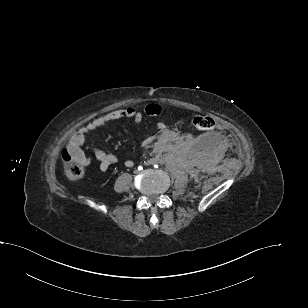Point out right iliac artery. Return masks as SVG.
<instances>
[{
    "label": "right iliac artery",
    "instance_id": "1",
    "mask_svg": "<svg viewBox=\"0 0 308 308\" xmlns=\"http://www.w3.org/2000/svg\"><path fill=\"white\" fill-rule=\"evenodd\" d=\"M143 168L141 166L138 167V170H142Z\"/></svg>",
    "mask_w": 308,
    "mask_h": 308
}]
</instances>
